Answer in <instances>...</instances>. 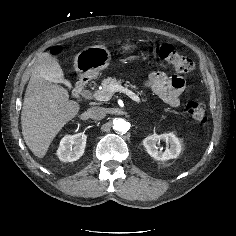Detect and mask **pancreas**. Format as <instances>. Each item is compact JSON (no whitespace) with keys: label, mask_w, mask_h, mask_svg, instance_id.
<instances>
[{"label":"pancreas","mask_w":236,"mask_h":236,"mask_svg":"<svg viewBox=\"0 0 236 236\" xmlns=\"http://www.w3.org/2000/svg\"><path fill=\"white\" fill-rule=\"evenodd\" d=\"M124 82V80H121V79H116V78H111V77H108L107 79H104L102 81V87L103 89L101 90L105 95H109V96H112V94L115 92V91H112V87L113 86H116V85H121V83ZM128 83V82H127ZM126 87H131L133 89H138V87L136 85H132L130 83L128 84H125ZM139 94H142V90L140 91Z\"/></svg>","instance_id":"obj_1"}]
</instances>
